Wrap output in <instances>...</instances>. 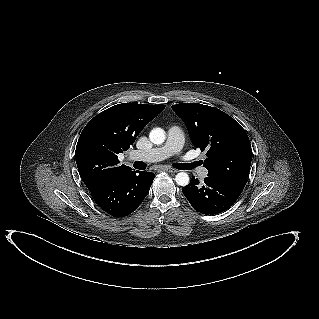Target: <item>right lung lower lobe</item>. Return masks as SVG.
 I'll return each instance as SVG.
<instances>
[{
  "label": "right lung lower lobe",
  "instance_id": "right-lung-lower-lobe-1",
  "mask_svg": "<svg viewBox=\"0 0 319 319\" xmlns=\"http://www.w3.org/2000/svg\"><path fill=\"white\" fill-rule=\"evenodd\" d=\"M154 177L151 172L128 170L91 191V196L109 215L125 217L142 203Z\"/></svg>",
  "mask_w": 319,
  "mask_h": 319
}]
</instances>
